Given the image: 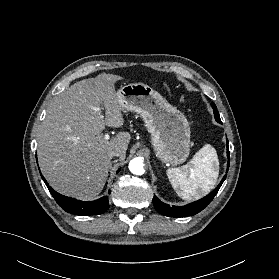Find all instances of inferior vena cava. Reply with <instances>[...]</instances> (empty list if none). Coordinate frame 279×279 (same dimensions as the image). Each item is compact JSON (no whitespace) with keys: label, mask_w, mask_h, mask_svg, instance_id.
<instances>
[{"label":"inferior vena cava","mask_w":279,"mask_h":279,"mask_svg":"<svg viewBox=\"0 0 279 279\" xmlns=\"http://www.w3.org/2000/svg\"><path fill=\"white\" fill-rule=\"evenodd\" d=\"M120 155H121V150H119V149H114V150L110 151V153H109L110 158L119 157Z\"/></svg>","instance_id":"obj_1"}]
</instances>
